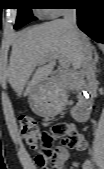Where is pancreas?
Returning <instances> with one entry per match:
<instances>
[{
    "label": "pancreas",
    "mask_w": 104,
    "mask_h": 169,
    "mask_svg": "<svg viewBox=\"0 0 104 169\" xmlns=\"http://www.w3.org/2000/svg\"><path fill=\"white\" fill-rule=\"evenodd\" d=\"M74 83L73 76H65L62 80V86L66 89H69Z\"/></svg>",
    "instance_id": "1"
}]
</instances>
